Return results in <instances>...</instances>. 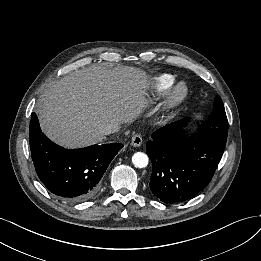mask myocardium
I'll list each match as a JSON object with an SVG mask.
<instances>
[{"label": "myocardium", "mask_w": 261, "mask_h": 261, "mask_svg": "<svg viewBox=\"0 0 261 261\" xmlns=\"http://www.w3.org/2000/svg\"><path fill=\"white\" fill-rule=\"evenodd\" d=\"M188 85L184 81L177 82L171 89L167 99V112L180 106L188 96Z\"/></svg>", "instance_id": "f54148a6"}]
</instances>
